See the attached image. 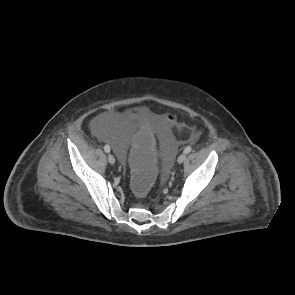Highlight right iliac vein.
Returning a JSON list of instances; mask_svg holds the SVG:
<instances>
[{
    "label": "right iliac vein",
    "instance_id": "1",
    "mask_svg": "<svg viewBox=\"0 0 295 295\" xmlns=\"http://www.w3.org/2000/svg\"><path fill=\"white\" fill-rule=\"evenodd\" d=\"M108 162L113 165L115 163V158L112 154L108 155Z\"/></svg>",
    "mask_w": 295,
    "mask_h": 295
}]
</instances>
